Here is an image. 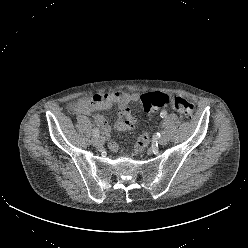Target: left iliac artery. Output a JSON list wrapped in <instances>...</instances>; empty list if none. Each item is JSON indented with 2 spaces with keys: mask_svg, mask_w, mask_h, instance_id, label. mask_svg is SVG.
Segmentation results:
<instances>
[{
  "mask_svg": "<svg viewBox=\"0 0 248 248\" xmlns=\"http://www.w3.org/2000/svg\"><path fill=\"white\" fill-rule=\"evenodd\" d=\"M160 116H161L162 118H165V117L167 116V112L163 110V111L160 113ZM158 134H159V136H161L162 134H164V131H161V132L158 133Z\"/></svg>",
  "mask_w": 248,
  "mask_h": 248,
  "instance_id": "1",
  "label": "left iliac artery"
}]
</instances>
